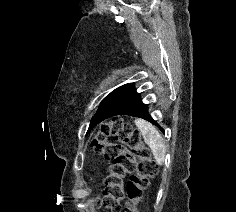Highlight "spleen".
I'll return each instance as SVG.
<instances>
[{
	"mask_svg": "<svg viewBox=\"0 0 236 212\" xmlns=\"http://www.w3.org/2000/svg\"><path fill=\"white\" fill-rule=\"evenodd\" d=\"M135 125L143 136L145 143L150 147L157 164L162 165L165 159V144L158 130L143 119H135Z\"/></svg>",
	"mask_w": 236,
	"mask_h": 212,
	"instance_id": "spleen-1",
	"label": "spleen"
}]
</instances>
